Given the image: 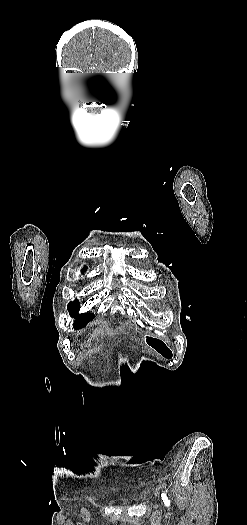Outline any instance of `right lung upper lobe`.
I'll return each instance as SVG.
<instances>
[{
    "label": "right lung upper lobe",
    "mask_w": 247,
    "mask_h": 525,
    "mask_svg": "<svg viewBox=\"0 0 247 525\" xmlns=\"http://www.w3.org/2000/svg\"><path fill=\"white\" fill-rule=\"evenodd\" d=\"M86 270V267H84L83 272Z\"/></svg>",
    "instance_id": "cb5924a9"
}]
</instances>
